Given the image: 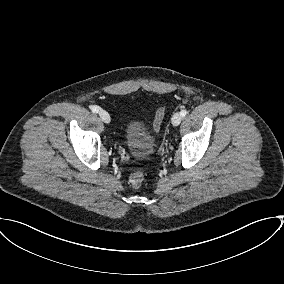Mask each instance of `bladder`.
<instances>
[{
    "mask_svg": "<svg viewBox=\"0 0 284 284\" xmlns=\"http://www.w3.org/2000/svg\"><path fill=\"white\" fill-rule=\"evenodd\" d=\"M123 138L125 146L134 157L146 159L155 151V136L139 119H129L126 122Z\"/></svg>",
    "mask_w": 284,
    "mask_h": 284,
    "instance_id": "31cf9c89",
    "label": "bladder"
}]
</instances>
